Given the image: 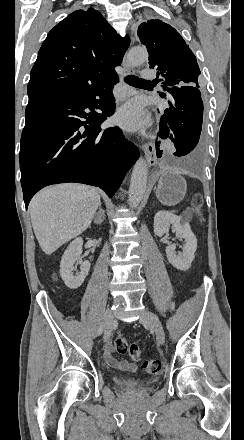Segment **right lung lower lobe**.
Here are the masks:
<instances>
[{"label": "right lung lower lobe", "mask_w": 244, "mask_h": 440, "mask_svg": "<svg viewBox=\"0 0 244 440\" xmlns=\"http://www.w3.org/2000/svg\"><path fill=\"white\" fill-rule=\"evenodd\" d=\"M118 81L116 74L78 93L29 98L19 153L26 209L34 194L51 184L84 183L114 195L139 157L119 127L100 128L114 113L111 89ZM95 108L102 113L87 112Z\"/></svg>", "instance_id": "1"}]
</instances>
